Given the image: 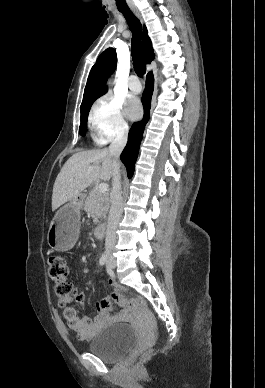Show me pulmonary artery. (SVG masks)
Segmentation results:
<instances>
[{"label":"pulmonary artery","instance_id":"obj_1","mask_svg":"<svg viewBox=\"0 0 265 388\" xmlns=\"http://www.w3.org/2000/svg\"><path fill=\"white\" fill-rule=\"evenodd\" d=\"M128 81L131 82V84L129 85V88L131 90H134L135 92H139L141 90V87H139V84H138V82L141 81L140 75H129Z\"/></svg>","mask_w":265,"mask_h":388}]
</instances>
